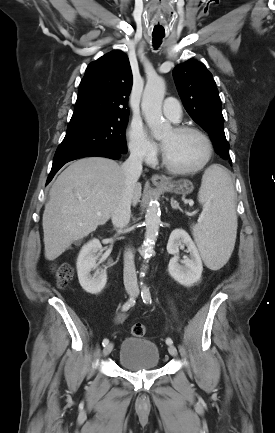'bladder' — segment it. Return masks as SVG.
<instances>
[{"instance_id":"obj_1","label":"bladder","mask_w":275,"mask_h":433,"mask_svg":"<svg viewBox=\"0 0 275 433\" xmlns=\"http://www.w3.org/2000/svg\"><path fill=\"white\" fill-rule=\"evenodd\" d=\"M159 348L150 340L129 337L123 340L118 352V362L132 372H142L159 367Z\"/></svg>"}]
</instances>
